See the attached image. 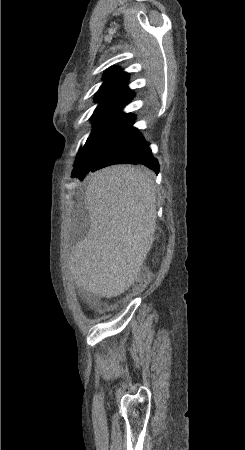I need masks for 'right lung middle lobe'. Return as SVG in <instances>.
Wrapping results in <instances>:
<instances>
[{
	"label": "right lung middle lobe",
	"mask_w": 245,
	"mask_h": 450,
	"mask_svg": "<svg viewBox=\"0 0 245 450\" xmlns=\"http://www.w3.org/2000/svg\"><path fill=\"white\" fill-rule=\"evenodd\" d=\"M135 117L119 109H96L91 117L94 129L84 148L78 152L72 176L90 169L105 153L114 152L129 142L135 133Z\"/></svg>",
	"instance_id": "obj_1"
}]
</instances>
